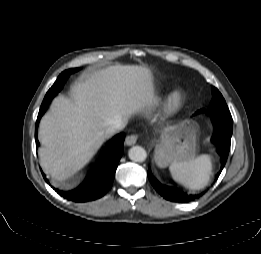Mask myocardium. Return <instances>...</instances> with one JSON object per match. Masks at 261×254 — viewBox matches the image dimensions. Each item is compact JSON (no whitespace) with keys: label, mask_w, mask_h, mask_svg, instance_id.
I'll return each mask as SVG.
<instances>
[{"label":"myocardium","mask_w":261,"mask_h":254,"mask_svg":"<svg viewBox=\"0 0 261 254\" xmlns=\"http://www.w3.org/2000/svg\"><path fill=\"white\" fill-rule=\"evenodd\" d=\"M186 102V95L180 89H175L167 94L162 103L159 118L167 121L177 116Z\"/></svg>","instance_id":"myocardium-1"}]
</instances>
